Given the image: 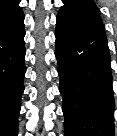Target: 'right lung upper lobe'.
<instances>
[{
	"label": "right lung upper lobe",
	"instance_id": "obj_1",
	"mask_svg": "<svg viewBox=\"0 0 117 136\" xmlns=\"http://www.w3.org/2000/svg\"><path fill=\"white\" fill-rule=\"evenodd\" d=\"M20 0H0V34L23 24L24 14Z\"/></svg>",
	"mask_w": 117,
	"mask_h": 136
}]
</instances>
